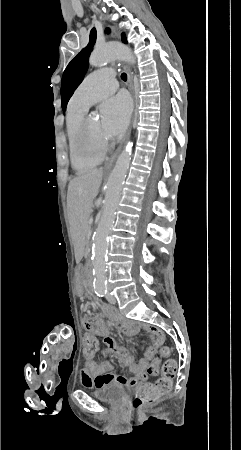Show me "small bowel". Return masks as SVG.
I'll use <instances>...</instances> for the list:
<instances>
[{
    "mask_svg": "<svg viewBox=\"0 0 241 450\" xmlns=\"http://www.w3.org/2000/svg\"><path fill=\"white\" fill-rule=\"evenodd\" d=\"M81 317L91 318L92 310L82 309ZM84 325L87 329V333L103 336V343L105 346L102 350L103 357L106 358L109 352H113L118 356L120 362L130 370L132 376L126 377L113 373L112 365L109 361L104 360L98 364L96 363L94 356L93 361H85V368L83 369L81 376L83 386L96 389H108L112 386H127L134 388L149 378L151 373L148 368L156 354L157 348H159L165 340V333L161 328L136 320H125L119 324L120 331L128 337L136 335L140 330L145 331L150 336V343L142 348V357L139 362L136 363L131 352L127 348L119 346L114 338L108 334V326L105 322L97 319H86Z\"/></svg>",
    "mask_w": 241,
    "mask_h": 450,
    "instance_id": "c3829d8e",
    "label": "small bowel"
}]
</instances>
